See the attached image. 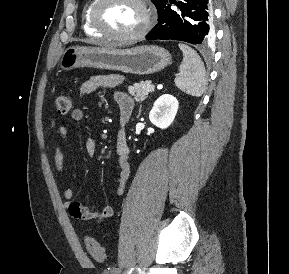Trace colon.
I'll use <instances>...</instances> for the list:
<instances>
[{
	"label": "colon",
	"instance_id": "1",
	"mask_svg": "<svg viewBox=\"0 0 289 274\" xmlns=\"http://www.w3.org/2000/svg\"><path fill=\"white\" fill-rule=\"evenodd\" d=\"M73 105V100L70 95L61 93L54 98V107L59 115L69 113ZM86 247L90 255L98 262L104 261L105 252L103 247L93 238L86 239Z\"/></svg>",
	"mask_w": 289,
	"mask_h": 274
}]
</instances>
